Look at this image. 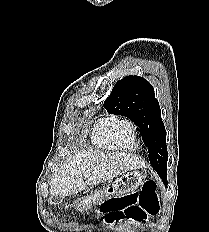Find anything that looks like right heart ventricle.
Listing matches in <instances>:
<instances>
[{
  "mask_svg": "<svg viewBox=\"0 0 209 232\" xmlns=\"http://www.w3.org/2000/svg\"><path fill=\"white\" fill-rule=\"evenodd\" d=\"M117 115L107 114L101 116L93 129L92 141L93 143L103 149L108 151H117L120 148L113 142L111 138V127L119 119ZM135 146L131 151H134L138 148L136 139L134 140Z\"/></svg>",
  "mask_w": 209,
  "mask_h": 232,
  "instance_id": "obj_1",
  "label": "right heart ventricle"
}]
</instances>
